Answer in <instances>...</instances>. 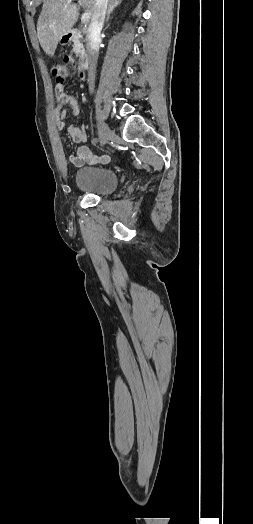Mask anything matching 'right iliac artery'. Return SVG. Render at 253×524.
Wrapping results in <instances>:
<instances>
[{"label": "right iliac artery", "mask_w": 253, "mask_h": 524, "mask_svg": "<svg viewBox=\"0 0 253 524\" xmlns=\"http://www.w3.org/2000/svg\"><path fill=\"white\" fill-rule=\"evenodd\" d=\"M99 142V137H95L93 139V145H96Z\"/></svg>", "instance_id": "right-iliac-artery-1"}]
</instances>
